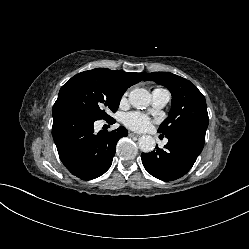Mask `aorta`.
Returning a JSON list of instances; mask_svg holds the SVG:
<instances>
[{
    "label": "aorta",
    "mask_w": 249,
    "mask_h": 249,
    "mask_svg": "<svg viewBox=\"0 0 249 249\" xmlns=\"http://www.w3.org/2000/svg\"><path fill=\"white\" fill-rule=\"evenodd\" d=\"M151 101L150 93L143 88L134 89L129 93L130 104L137 109L146 108ZM139 148L143 152H151L155 148V140L150 135H143L138 140Z\"/></svg>",
    "instance_id": "762f6f07"
}]
</instances>
